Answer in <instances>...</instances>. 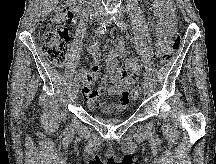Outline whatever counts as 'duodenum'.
I'll return each instance as SVG.
<instances>
[{
    "label": "duodenum",
    "mask_w": 216,
    "mask_h": 164,
    "mask_svg": "<svg viewBox=\"0 0 216 164\" xmlns=\"http://www.w3.org/2000/svg\"><path fill=\"white\" fill-rule=\"evenodd\" d=\"M71 7L78 12H84L86 7V0H69Z\"/></svg>",
    "instance_id": "obj_1"
}]
</instances>
